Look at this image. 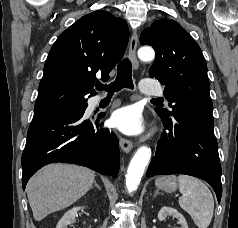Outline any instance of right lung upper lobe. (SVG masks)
Returning <instances> with one entry per match:
<instances>
[{
    "instance_id": "cb5924a9",
    "label": "right lung upper lobe",
    "mask_w": 238,
    "mask_h": 228,
    "mask_svg": "<svg viewBox=\"0 0 238 228\" xmlns=\"http://www.w3.org/2000/svg\"><path fill=\"white\" fill-rule=\"evenodd\" d=\"M129 39L127 23L103 10L81 17L60 34L44 65L35 114L87 101L96 74L108 73L123 56Z\"/></svg>"
}]
</instances>
